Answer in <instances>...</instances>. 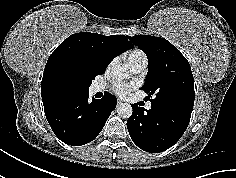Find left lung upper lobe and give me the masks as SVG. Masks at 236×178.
<instances>
[{
  "instance_id": "obj_1",
  "label": "left lung upper lobe",
  "mask_w": 236,
  "mask_h": 178,
  "mask_svg": "<svg viewBox=\"0 0 236 178\" xmlns=\"http://www.w3.org/2000/svg\"><path fill=\"white\" fill-rule=\"evenodd\" d=\"M148 57V73L142 90L154 96L151 103L192 110L195 91L191 67L182 53L165 38L128 36Z\"/></svg>"
}]
</instances>
